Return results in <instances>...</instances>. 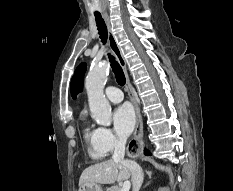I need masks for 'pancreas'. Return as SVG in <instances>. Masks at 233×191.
<instances>
[{"label":"pancreas","instance_id":"cf45deb5","mask_svg":"<svg viewBox=\"0 0 233 191\" xmlns=\"http://www.w3.org/2000/svg\"><path fill=\"white\" fill-rule=\"evenodd\" d=\"M107 191H121V187L120 186H112V187L108 188Z\"/></svg>","mask_w":233,"mask_h":191}]
</instances>
